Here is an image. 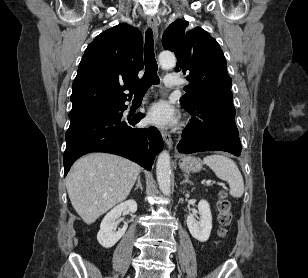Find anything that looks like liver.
<instances>
[{
	"label": "liver",
	"mask_w": 308,
	"mask_h": 278,
	"mask_svg": "<svg viewBox=\"0 0 308 278\" xmlns=\"http://www.w3.org/2000/svg\"><path fill=\"white\" fill-rule=\"evenodd\" d=\"M141 166L123 157L91 153L78 159L66 179L73 208L86 224L124 201Z\"/></svg>",
	"instance_id": "1"
}]
</instances>
